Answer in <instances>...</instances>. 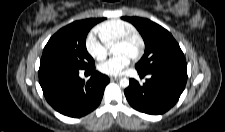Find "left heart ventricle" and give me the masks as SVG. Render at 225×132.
<instances>
[{
	"mask_svg": "<svg viewBox=\"0 0 225 132\" xmlns=\"http://www.w3.org/2000/svg\"><path fill=\"white\" fill-rule=\"evenodd\" d=\"M137 49L138 44L136 42H133L128 45L117 44L114 46L113 51L115 55L128 54L132 57V55L137 51Z\"/></svg>",
	"mask_w": 225,
	"mask_h": 132,
	"instance_id": "obj_1",
	"label": "left heart ventricle"
}]
</instances>
